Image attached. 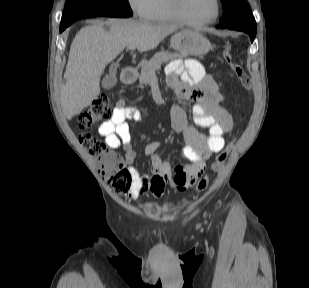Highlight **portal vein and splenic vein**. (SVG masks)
Here are the masks:
<instances>
[{
  "label": "portal vein and splenic vein",
  "instance_id": "portal-vein-and-splenic-vein-1",
  "mask_svg": "<svg viewBox=\"0 0 309 288\" xmlns=\"http://www.w3.org/2000/svg\"><path fill=\"white\" fill-rule=\"evenodd\" d=\"M128 49H129V50H134L135 47L130 46V47H128Z\"/></svg>",
  "mask_w": 309,
  "mask_h": 288
}]
</instances>
